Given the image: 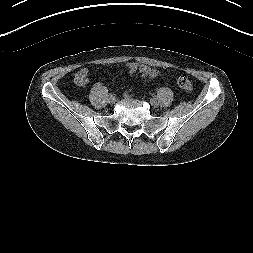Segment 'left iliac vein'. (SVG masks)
Listing matches in <instances>:
<instances>
[{
	"label": "left iliac vein",
	"instance_id": "left-iliac-vein-1",
	"mask_svg": "<svg viewBox=\"0 0 253 253\" xmlns=\"http://www.w3.org/2000/svg\"><path fill=\"white\" fill-rule=\"evenodd\" d=\"M151 104L154 108H157L158 107V102L154 99H151Z\"/></svg>",
	"mask_w": 253,
	"mask_h": 253
}]
</instances>
